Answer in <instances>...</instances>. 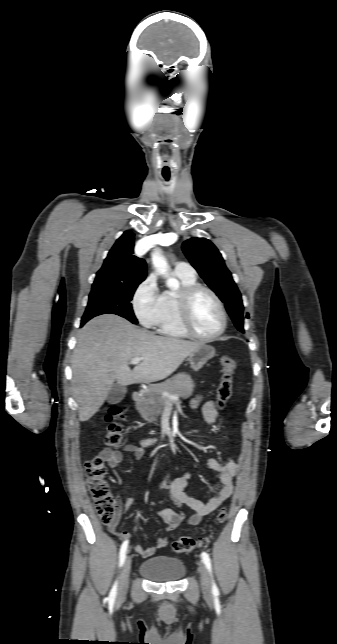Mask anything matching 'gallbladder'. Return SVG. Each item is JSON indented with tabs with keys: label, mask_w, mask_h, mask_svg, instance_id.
Listing matches in <instances>:
<instances>
[{
	"label": "gallbladder",
	"mask_w": 337,
	"mask_h": 644,
	"mask_svg": "<svg viewBox=\"0 0 337 644\" xmlns=\"http://www.w3.org/2000/svg\"><path fill=\"white\" fill-rule=\"evenodd\" d=\"M126 392H127V389L125 386H120L118 384H115L109 391V394L107 396V402L109 404H117L121 402L124 399Z\"/></svg>",
	"instance_id": "obj_1"
}]
</instances>
